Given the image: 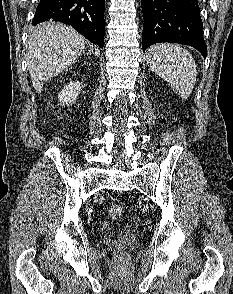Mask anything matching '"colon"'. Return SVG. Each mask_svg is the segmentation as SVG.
I'll list each match as a JSON object with an SVG mask.
<instances>
[{
    "mask_svg": "<svg viewBox=\"0 0 233 294\" xmlns=\"http://www.w3.org/2000/svg\"><path fill=\"white\" fill-rule=\"evenodd\" d=\"M125 209L122 205H113L108 210V215L111 219L117 220L120 219L124 215ZM118 260L119 262L123 263L125 261V253L119 252L118 253Z\"/></svg>",
    "mask_w": 233,
    "mask_h": 294,
    "instance_id": "obj_1",
    "label": "colon"
}]
</instances>
